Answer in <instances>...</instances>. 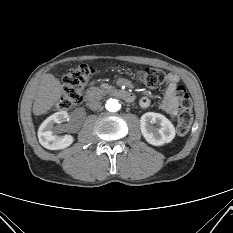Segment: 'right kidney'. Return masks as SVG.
I'll list each match as a JSON object with an SVG mask.
<instances>
[{
	"mask_svg": "<svg viewBox=\"0 0 233 233\" xmlns=\"http://www.w3.org/2000/svg\"><path fill=\"white\" fill-rule=\"evenodd\" d=\"M69 116L65 111H59L49 116L38 129V138L40 144L49 150H59L70 146L73 142L71 135L57 136L64 131V127L55 124H60L63 121H68Z\"/></svg>",
	"mask_w": 233,
	"mask_h": 233,
	"instance_id": "obj_1",
	"label": "right kidney"
}]
</instances>
